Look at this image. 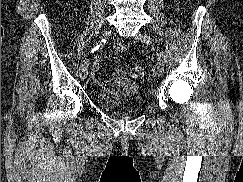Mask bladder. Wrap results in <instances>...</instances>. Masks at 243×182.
Returning <instances> with one entry per match:
<instances>
[{
  "label": "bladder",
  "mask_w": 243,
  "mask_h": 182,
  "mask_svg": "<svg viewBox=\"0 0 243 182\" xmlns=\"http://www.w3.org/2000/svg\"><path fill=\"white\" fill-rule=\"evenodd\" d=\"M95 101L104 111L117 115L137 114L145 105L140 95H119L113 91H98L95 94Z\"/></svg>",
  "instance_id": "obj_1"
}]
</instances>
